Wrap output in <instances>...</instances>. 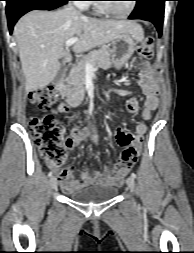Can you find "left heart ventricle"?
<instances>
[{
	"label": "left heart ventricle",
	"instance_id": "b2bd125f",
	"mask_svg": "<svg viewBox=\"0 0 194 253\" xmlns=\"http://www.w3.org/2000/svg\"><path fill=\"white\" fill-rule=\"evenodd\" d=\"M106 5L116 13H124L129 9L131 2L130 1H111V2H107Z\"/></svg>",
	"mask_w": 194,
	"mask_h": 253
}]
</instances>
